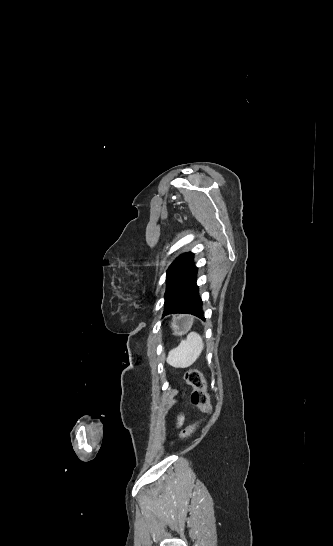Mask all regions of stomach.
Masks as SVG:
<instances>
[{
  "label": "stomach",
  "mask_w": 333,
  "mask_h": 546,
  "mask_svg": "<svg viewBox=\"0 0 333 546\" xmlns=\"http://www.w3.org/2000/svg\"><path fill=\"white\" fill-rule=\"evenodd\" d=\"M192 324H189V321L184 318L182 320H175L172 322L171 327L173 328L174 335H182L186 333L190 328Z\"/></svg>",
  "instance_id": "0dacf381"
}]
</instances>
